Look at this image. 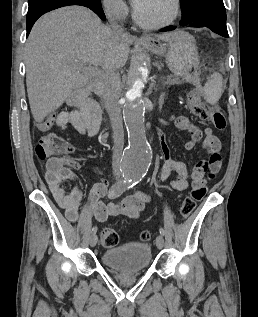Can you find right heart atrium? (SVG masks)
<instances>
[{
  "mask_svg": "<svg viewBox=\"0 0 258 317\" xmlns=\"http://www.w3.org/2000/svg\"><path fill=\"white\" fill-rule=\"evenodd\" d=\"M102 8L107 17L117 20H125L129 8L124 0H103Z\"/></svg>",
  "mask_w": 258,
  "mask_h": 317,
  "instance_id": "1",
  "label": "right heart atrium"
}]
</instances>
